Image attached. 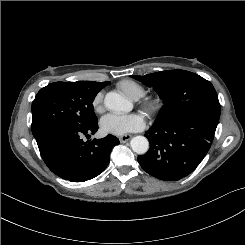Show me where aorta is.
<instances>
[{
	"instance_id": "aorta-1",
	"label": "aorta",
	"mask_w": 245,
	"mask_h": 245,
	"mask_svg": "<svg viewBox=\"0 0 245 245\" xmlns=\"http://www.w3.org/2000/svg\"><path fill=\"white\" fill-rule=\"evenodd\" d=\"M106 108L120 112L128 109V102L120 94L116 92H109L104 99ZM131 148L137 154H145L149 149V142L144 136L133 137L130 141Z\"/></svg>"
}]
</instances>
